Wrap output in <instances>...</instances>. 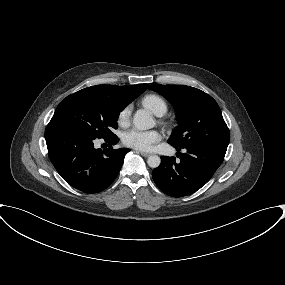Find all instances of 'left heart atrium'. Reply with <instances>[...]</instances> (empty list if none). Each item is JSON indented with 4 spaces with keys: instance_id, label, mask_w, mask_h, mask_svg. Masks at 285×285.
Listing matches in <instances>:
<instances>
[{
    "instance_id": "39dd6f15",
    "label": "left heart atrium",
    "mask_w": 285,
    "mask_h": 285,
    "mask_svg": "<svg viewBox=\"0 0 285 285\" xmlns=\"http://www.w3.org/2000/svg\"><path fill=\"white\" fill-rule=\"evenodd\" d=\"M160 132L156 130L130 129L123 134V143L131 148L148 151L161 140Z\"/></svg>"
}]
</instances>
